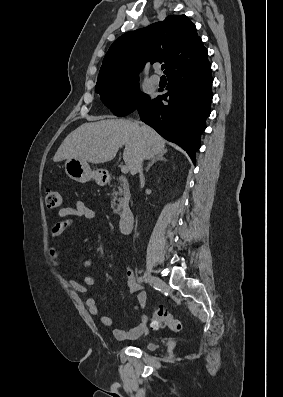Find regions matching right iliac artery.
Returning <instances> with one entry per match:
<instances>
[{
    "mask_svg": "<svg viewBox=\"0 0 283 397\" xmlns=\"http://www.w3.org/2000/svg\"><path fill=\"white\" fill-rule=\"evenodd\" d=\"M143 281H144V277L141 276V277L138 278V282L139 283H142Z\"/></svg>",
    "mask_w": 283,
    "mask_h": 397,
    "instance_id": "obj_1",
    "label": "right iliac artery"
}]
</instances>
